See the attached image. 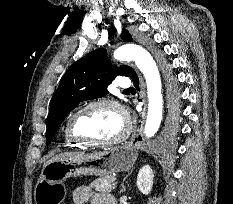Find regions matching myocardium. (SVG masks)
<instances>
[{"label":"myocardium","mask_w":233,"mask_h":204,"mask_svg":"<svg viewBox=\"0 0 233 204\" xmlns=\"http://www.w3.org/2000/svg\"><path fill=\"white\" fill-rule=\"evenodd\" d=\"M98 106H109L114 108L119 112L121 115L123 122H124V128L123 131L116 136L115 138L108 140V141H94L87 139L85 137H82L78 135L75 131V121L81 115L83 112L86 110L93 108V107H98ZM67 130L69 135L74 139L77 140L87 146H93V147H102V148H107V147H112L115 145L120 144L121 142L125 141L131 131H132V120L130 117L129 112L127 109L117 100L110 99V98H102V99H97L90 101L84 105H82L80 108H78L69 118L68 123H67Z\"/></svg>","instance_id":"myocardium-1"}]
</instances>
